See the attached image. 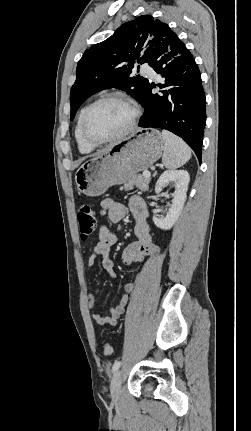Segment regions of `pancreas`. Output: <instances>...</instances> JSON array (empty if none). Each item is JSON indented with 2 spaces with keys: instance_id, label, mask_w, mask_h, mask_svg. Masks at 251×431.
<instances>
[{
  "instance_id": "1",
  "label": "pancreas",
  "mask_w": 251,
  "mask_h": 431,
  "mask_svg": "<svg viewBox=\"0 0 251 431\" xmlns=\"http://www.w3.org/2000/svg\"><path fill=\"white\" fill-rule=\"evenodd\" d=\"M150 178H146L143 175L136 174L131 177L124 186L121 187L123 190H132L134 187L140 189L142 192H145L149 188Z\"/></svg>"
}]
</instances>
